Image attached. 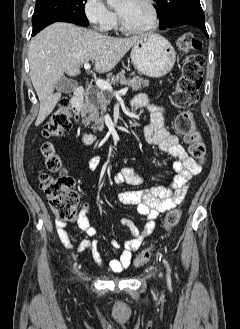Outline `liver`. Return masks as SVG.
I'll return each instance as SVG.
<instances>
[{"label":"liver","mask_w":240,"mask_h":329,"mask_svg":"<svg viewBox=\"0 0 240 329\" xmlns=\"http://www.w3.org/2000/svg\"><path fill=\"white\" fill-rule=\"evenodd\" d=\"M140 37L113 38L70 23H54L29 45L30 77L40 101L36 126L53 111L61 94L56 83L67 74H80V66L93 61L98 73L112 70Z\"/></svg>","instance_id":"6515ba94"}]
</instances>
